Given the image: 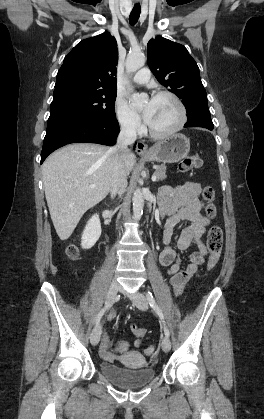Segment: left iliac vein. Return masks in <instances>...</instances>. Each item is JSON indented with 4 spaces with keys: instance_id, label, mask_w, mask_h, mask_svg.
<instances>
[{
    "instance_id": "1",
    "label": "left iliac vein",
    "mask_w": 264,
    "mask_h": 419,
    "mask_svg": "<svg viewBox=\"0 0 264 419\" xmlns=\"http://www.w3.org/2000/svg\"><path fill=\"white\" fill-rule=\"evenodd\" d=\"M130 297L138 309L146 310L148 308L147 299L141 292H136L135 294L130 295ZM162 349L166 353L171 349V341L167 336L162 339Z\"/></svg>"
}]
</instances>
